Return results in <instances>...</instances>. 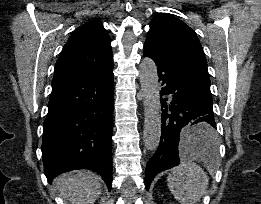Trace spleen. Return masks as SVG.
<instances>
[{
	"instance_id": "spleen-1",
	"label": "spleen",
	"mask_w": 261,
	"mask_h": 204,
	"mask_svg": "<svg viewBox=\"0 0 261 204\" xmlns=\"http://www.w3.org/2000/svg\"><path fill=\"white\" fill-rule=\"evenodd\" d=\"M185 132H189V127H186ZM199 150L201 153L216 152L215 136L211 143L208 141L199 143ZM208 182L209 178L205 171L193 162H182L167 177V185L180 204H197L204 195Z\"/></svg>"
}]
</instances>
